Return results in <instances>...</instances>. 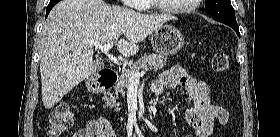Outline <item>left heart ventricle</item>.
<instances>
[{
    "label": "left heart ventricle",
    "instance_id": "b2bd125f",
    "mask_svg": "<svg viewBox=\"0 0 280 137\" xmlns=\"http://www.w3.org/2000/svg\"><path fill=\"white\" fill-rule=\"evenodd\" d=\"M167 7L178 8L191 3V0H162Z\"/></svg>",
    "mask_w": 280,
    "mask_h": 137
}]
</instances>
